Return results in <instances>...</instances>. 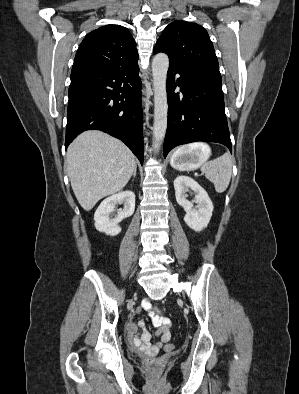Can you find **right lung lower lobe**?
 I'll return each mask as SVG.
<instances>
[{"label": "right lung lower lobe", "instance_id": "obj_1", "mask_svg": "<svg viewBox=\"0 0 299 394\" xmlns=\"http://www.w3.org/2000/svg\"><path fill=\"white\" fill-rule=\"evenodd\" d=\"M138 64L71 78L65 148L97 129L122 140L143 164V115Z\"/></svg>", "mask_w": 299, "mask_h": 394}]
</instances>
